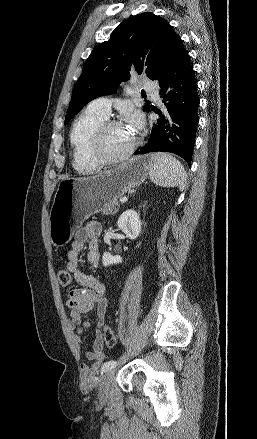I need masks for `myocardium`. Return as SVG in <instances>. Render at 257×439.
<instances>
[{"instance_id":"1","label":"myocardium","mask_w":257,"mask_h":439,"mask_svg":"<svg viewBox=\"0 0 257 439\" xmlns=\"http://www.w3.org/2000/svg\"><path fill=\"white\" fill-rule=\"evenodd\" d=\"M122 124L119 120L106 119L98 125L91 138V152L94 159L99 163H116L128 158L141 142V138L137 136L136 140L124 151L114 156H107L104 150V137L106 131L115 125Z\"/></svg>"}]
</instances>
